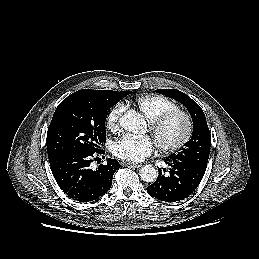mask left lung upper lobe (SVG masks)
I'll use <instances>...</instances> for the list:
<instances>
[{
  "label": "left lung upper lobe",
  "mask_w": 259,
  "mask_h": 259,
  "mask_svg": "<svg viewBox=\"0 0 259 259\" xmlns=\"http://www.w3.org/2000/svg\"><path fill=\"white\" fill-rule=\"evenodd\" d=\"M157 93L171 97L182 103L189 111L193 120V133L190 141L180 152L169 158L185 160L206 170L209 159L211 135L201 107L188 95L176 89H157Z\"/></svg>",
  "instance_id": "obj_1"
}]
</instances>
